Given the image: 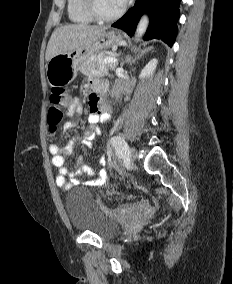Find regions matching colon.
I'll return each instance as SVG.
<instances>
[{
    "instance_id": "obj_1",
    "label": "colon",
    "mask_w": 233,
    "mask_h": 284,
    "mask_svg": "<svg viewBox=\"0 0 233 284\" xmlns=\"http://www.w3.org/2000/svg\"><path fill=\"white\" fill-rule=\"evenodd\" d=\"M70 99V95L65 88L57 86L52 88L50 93V108L47 116V122L51 132H56L58 129ZM98 204L105 212L121 220H130L145 216L152 209V205L149 201H138L114 209L107 208L100 201H98Z\"/></svg>"
}]
</instances>
